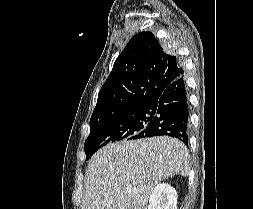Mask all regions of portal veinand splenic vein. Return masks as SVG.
I'll list each match as a JSON object with an SVG mask.
<instances>
[{"label": "portal vein and splenic vein", "mask_w": 253, "mask_h": 209, "mask_svg": "<svg viewBox=\"0 0 253 209\" xmlns=\"http://www.w3.org/2000/svg\"><path fill=\"white\" fill-rule=\"evenodd\" d=\"M133 190L131 188H128L127 189V192H132Z\"/></svg>", "instance_id": "1"}]
</instances>
